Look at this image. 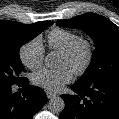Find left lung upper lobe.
Segmentation results:
<instances>
[{
    "instance_id": "5c2ea615",
    "label": "left lung upper lobe",
    "mask_w": 119,
    "mask_h": 119,
    "mask_svg": "<svg viewBox=\"0 0 119 119\" xmlns=\"http://www.w3.org/2000/svg\"><path fill=\"white\" fill-rule=\"evenodd\" d=\"M57 25L82 29L93 39L95 44L91 63L76 84L89 86L94 83H119L118 26L95 13L59 20Z\"/></svg>"
}]
</instances>
